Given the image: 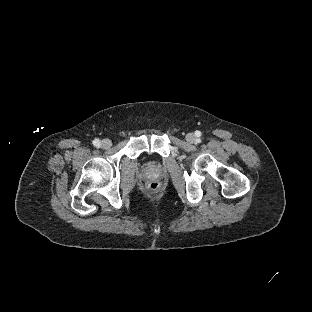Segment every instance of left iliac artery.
<instances>
[{"label": "left iliac artery", "instance_id": "left-iliac-artery-1", "mask_svg": "<svg viewBox=\"0 0 312 312\" xmlns=\"http://www.w3.org/2000/svg\"><path fill=\"white\" fill-rule=\"evenodd\" d=\"M196 135H197V136H200V135H201V132L196 131Z\"/></svg>", "mask_w": 312, "mask_h": 312}]
</instances>
